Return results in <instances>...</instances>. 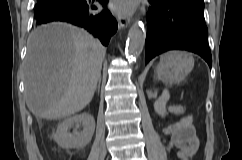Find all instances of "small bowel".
Returning <instances> with one entry per match:
<instances>
[{"instance_id": "small-bowel-1", "label": "small bowel", "mask_w": 242, "mask_h": 160, "mask_svg": "<svg viewBox=\"0 0 242 160\" xmlns=\"http://www.w3.org/2000/svg\"><path fill=\"white\" fill-rule=\"evenodd\" d=\"M168 130L173 133V144L178 151L179 159L189 160V157L197 152L200 145L192 119L189 116L183 117Z\"/></svg>"}]
</instances>
